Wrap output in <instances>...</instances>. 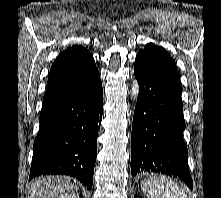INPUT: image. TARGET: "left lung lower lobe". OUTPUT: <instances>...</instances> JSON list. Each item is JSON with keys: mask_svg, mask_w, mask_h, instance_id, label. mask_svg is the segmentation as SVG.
I'll return each instance as SVG.
<instances>
[{"mask_svg": "<svg viewBox=\"0 0 221 198\" xmlns=\"http://www.w3.org/2000/svg\"><path fill=\"white\" fill-rule=\"evenodd\" d=\"M134 74L139 95L132 123V175L168 174L192 189L179 80L141 54L136 56Z\"/></svg>", "mask_w": 221, "mask_h": 198, "instance_id": "1", "label": "left lung lower lobe"}]
</instances>
